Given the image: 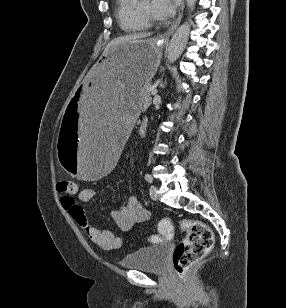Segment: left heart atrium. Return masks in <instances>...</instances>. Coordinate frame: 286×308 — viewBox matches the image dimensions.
<instances>
[{"label":"left heart atrium","mask_w":286,"mask_h":308,"mask_svg":"<svg viewBox=\"0 0 286 308\" xmlns=\"http://www.w3.org/2000/svg\"><path fill=\"white\" fill-rule=\"evenodd\" d=\"M176 0H152L151 12L154 17L167 19L175 11Z\"/></svg>","instance_id":"1"}]
</instances>
